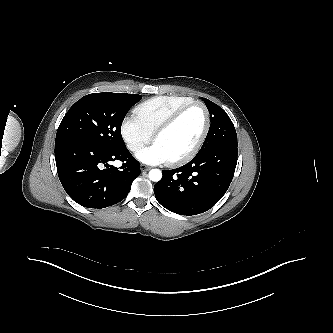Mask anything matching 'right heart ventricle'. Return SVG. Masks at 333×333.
<instances>
[{
  "mask_svg": "<svg viewBox=\"0 0 333 333\" xmlns=\"http://www.w3.org/2000/svg\"><path fill=\"white\" fill-rule=\"evenodd\" d=\"M193 101V98L186 96H156L139 104L134 112L142 124L154 133L171 114Z\"/></svg>",
  "mask_w": 333,
  "mask_h": 333,
  "instance_id": "e07e8e85",
  "label": "right heart ventricle"
}]
</instances>
